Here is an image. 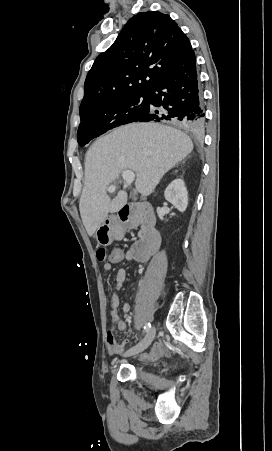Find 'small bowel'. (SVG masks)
<instances>
[{"label":"small bowel","mask_w":272,"mask_h":451,"mask_svg":"<svg viewBox=\"0 0 272 451\" xmlns=\"http://www.w3.org/2000/svg\"><path fill=\"white\" fill-rule=\"evenodd\" d=\"M116 263V261H106L103 265V270L108 273L112 270L113 264ZM126 280V270L124 268H121L118 270L116 277H115V288L112 292L109 300V308L111 312V317L113 321V329L119 330L122 332H127L128 327L125 321H123L119 316V305H120V295L119 292L123 288L124 282ZM122 309L124 312L128 313L131 311V305L129 303H125L122 306ZM129 342V339L123 340L121 344H119L116 347H109L108 353L110 356L113 355H120L124 351V346ZM169 357L170 356V349L167 344V342L163 339H160L150 350L148 353H144L142 355L143 358L149 359V360H158L160 357Z\"/></svg>","instance_id":"obj_1"}]
</instances>
